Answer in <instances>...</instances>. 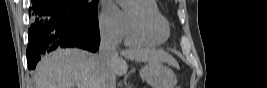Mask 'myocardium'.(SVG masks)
I'll list each match as a JSON object with an SVG mask.
<instances>
[{"mask_svg":"<svg viewBox=\"0 0 267 88\" xmlns=\"http://www.w3.org/2000/svg\"><path fill=\"white\" fill-rule=\"evenodd\" d=\"M127 20L129 25L138 32L145 34L157 32V26L153 18L132 3L127 11Z\"/></svg>","mask_w":267,"mask_h":88,"instance_id":"obj_1","label":"myocardium"}]
</instances>
